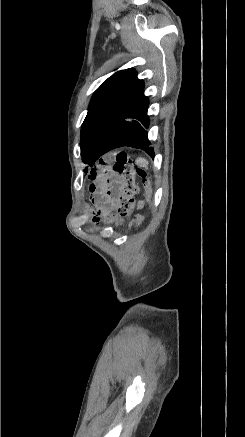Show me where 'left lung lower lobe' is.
Listing matches in <instances>:
<instances>
[{
  "mask_svg": "<svg viewBox=\"0 0 245 437\" xmlns=\"http://www.w3.org/2000/svg\"><path fill=\"white\" fill-rule=\"evenodd\" d=\"M148 106L149 101L144 96L143 87L110 130L100 150L99 157L112 149L122 146L140 148L152 157L154 156V150L150 146L146 131L149 125Z\"/></svg>",
  "mask_w": 245,
  "mask_h": 437,
  "instance_id": "0a47b994",
  "label": "left lung lower lobe"
}]
</instances>
